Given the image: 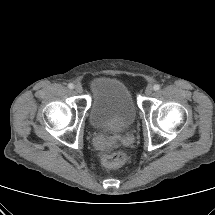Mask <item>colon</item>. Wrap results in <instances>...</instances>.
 Returning a JSON list of instances; mask_svg holds the SVG:
<instances>
[{
  "instance_id": "obj_1",
  "label": "colon",
  "mask_w": 215,
  "mask_h": 215,
  "mask_svg": "<svg viewBox=\"0 0 215 215\" xmlns=\"http://www.w3.org/2000/svg\"><path fill=\"white\" fill-rule=\"evenodd\" d=\"M126 154L122 151H118L112 154L105 155L102 158V164L108 169L118 168L126 161Z\"/></svg>"
}]
</instances>
